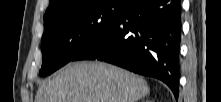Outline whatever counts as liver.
<instances>
[{
	"mask_svg": "<svg viewBox=\"0 0 221 102\" xmlns=\"http://www.w3.org/2000/svg\"><path fill=\"white\" fill-rule=\"evenodd\" d=\"M149 91L142 77L127 70L102 62H79L43 82L35 102H137Z\"/></svg>",
	"mask_w": 221,
	"mask_h": 102,
	"instance_id": "1",
	"label": "liver"
}]
</instances>
